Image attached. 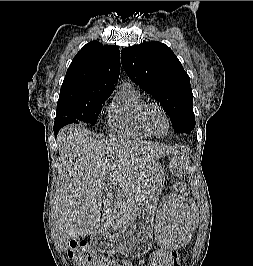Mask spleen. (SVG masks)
Instances as JSON below:
<instances>
[{
  "label": "spleen",
  "mask_w": 253,
  "mask_h": 266,
  "mask_svg": "<svg viewBox=\"0 0 253 266\" xmlns=\"http://www.w3.org/2000/svg\"><path fill=\"white\" fill-rule=\"evenodd\" d=\"M187 160H174V169H187ZM173 199H196V190H173ZM195 219H198V210L191 207H158L154 215V239L156 246L166 248H187L188 242H195Z\"/></svg>",
  "instance_id": "3e777b00"
}]
</instances>
